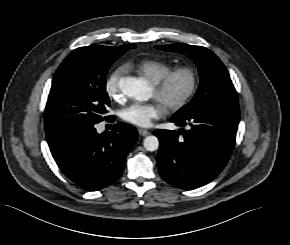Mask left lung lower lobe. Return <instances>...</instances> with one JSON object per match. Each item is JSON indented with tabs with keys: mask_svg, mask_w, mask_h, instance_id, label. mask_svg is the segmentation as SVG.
Here are the masks:
<instances>
[{
	"mask_svg": "<svg viewBox=\"0 0 290 245\" xmlns=\"http://www.w3.org/2000/svg\"><path fill=\"white\" fill-rule=\"evenodd\" d=\"M179 132L156 130L160 140L158 171L169 184L190 190L213 180L225 167L235 145L239 117H227L201 109L184 117H172Z\"/></svg>",
	"mask_w": 290,
	"mask_h": 245,
	"instance_id": "0a47b994",
	"label": "left lung lower lobe"
}]
</instances>
